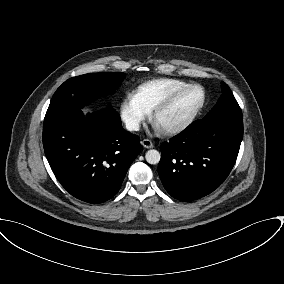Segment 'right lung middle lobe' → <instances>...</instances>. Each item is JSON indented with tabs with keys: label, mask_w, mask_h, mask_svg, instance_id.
<instances>
[{
	"label": "right lung middle lobe",
	"mask_w": 284,
	"mask_h": 284,
	"mask_svg": "<svg viewBox=\"0 0 284 284\" xmlns=\"http://www.w3.org/2000/svg\"><path fill=\"white\" fill-rule=\"evenodd\" d=\"M124 76L122 72H101L68 79L54 93L44 124L66 112L80 110L96 97L113 92L120 86Z\"/></svg>",
	"instance_id": "1"
}]
</instances>
